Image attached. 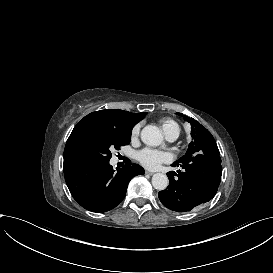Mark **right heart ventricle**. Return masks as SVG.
Returning a JSON list of instances; mask_svg holds the SVG:
<instances>
[{
    "label": "right heart ventricle",
    "instance_id": "1",
    "mask_svg": "<svg viewBox=\"0 0 273 273\" xmlns=\"http://www.w3.org/2000/svg\"><path fill=\"white\" fill-rule=\"evenodd\" d=\"M160 128L162 129L163 133L166 135L173 134L177 138L180 133V125L177 121L172 118H162L159 120Z\"/></svg>",
    "mask_w": 273,
    "mask_h": 273
}]
</instances>
